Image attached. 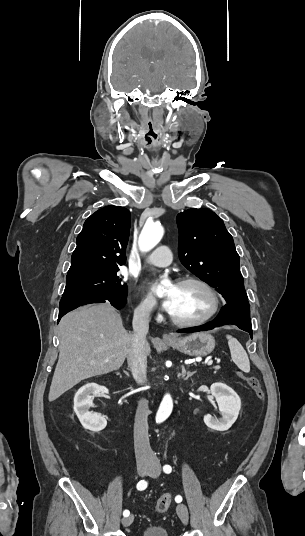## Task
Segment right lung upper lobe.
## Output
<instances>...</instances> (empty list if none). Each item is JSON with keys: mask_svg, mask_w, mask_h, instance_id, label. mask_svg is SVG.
<instances>
[{"mask_svg": "<svg viewBox=\"0 0 305 536\" xmlns=\"http://www.w3.org/2000/svg\"><path fill=\"white\" fill-rule=\"evenodd\" d=\"M130 224V212L124 207L106 206L92 214L77 237L67 278L124 265Z\"/></svg>", "mask_w": 305, "mask_h": 536, "instance_id": "1", "label": "right lung upper lobe"}]
</instances>
